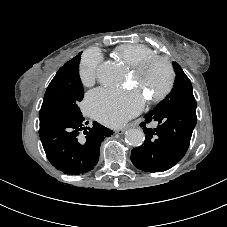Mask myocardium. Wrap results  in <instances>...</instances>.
<instances>
[{
  "label": "myocardium",
  "instance_id": "1",
  "mask_svg": "<svg viewBox=\"0 0 227 227\" xmlns=\"http://www.w3.org/2000/svg\"><path fill=\"white\" fill-rule=\"evenodd\" d=\"M155 63H162L165 66L168 78L164 88L158 94L149 99L150 103H157L162 101L172 90L175 82V71L173 65L168 58L155 55L153 57L142 60L141 62L132 67L133 74L136 77H139Z\"/></svg>",
  "mask_w": 227,
  "mask_h": 227
}]
</instances>
